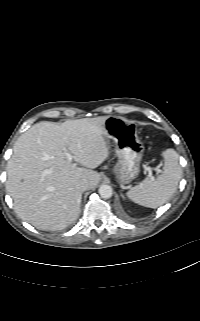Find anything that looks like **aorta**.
<instances>
[{"label":"aorta","instance_id":"obj_1","mask_svg":"<svg viewBox=\"0 0 200 321\" xmlns=\"http://www.w3.org/2000/svg\"><path fill=\"white\" fill-rule=\"evenodd\" d=\"M99 195L103 198V199H108L110 197H112V194H113V189L111 186L109 185H101L99 187Z\"/></svg>","mask_w":200,"mask_h":321}]
</instances>
